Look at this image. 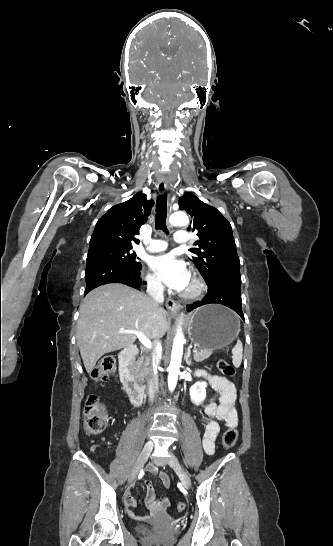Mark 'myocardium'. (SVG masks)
<instances>
[{
    "instance_id": "myocardium-1",
    "label": "myocardium",
    "mask_w": 333,
    "mask_h": 546,
    "mask_svg": "<svg viewBox=\"0 0 333 546\" xmlns=\"http://www.w3.org/2000/svg\"><path fill=\"white\" fill-rule=\"evenodd\" d=\"M191 288L182 293V296L186 299H194L203 294L206 290V284L202 277L194 273L191 279Z\"/></svg>"
}]
</instances>
